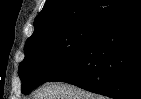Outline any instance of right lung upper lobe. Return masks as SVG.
I'll use <instances>...</instances> for the list:
<instances>
[{
  "mask_svg": "<svg viewBox=\"0 0 141 99\" xmlns=\"http://www.w3.org/2000/svg\"><path fill=\"white\" fill-rule=\"evenodd\" d=\"M136 0H47L28 39L84 21H102ZM27 40V41H28Z\"/></svg>",
  "mask_w": 141,
  "mask_h": 99,
  "instance_id": "cb5924a9",
  "label": "right lung upper lobe"
}]
</instances>
